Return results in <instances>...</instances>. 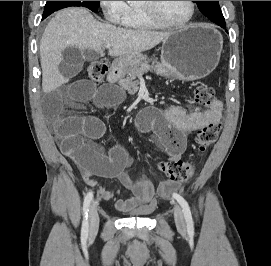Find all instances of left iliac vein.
<instances>
[{
    "label": "left iliac vein",
    "instance_id": "left-iliac-vein-1",
    "mask_svg": "<svg viewBox=\"0 0 271 266\" xmlns=\"http://www.w3.org/2000/svg\"><path fill=\"white\" fill-rule=\"evenodd\" d=\"M174 220L178 230L184 232L186 230L183 212L178 205L174 206Z\"/></svg>",
    "mask_w": 271,
    "mask_h": 266
}]
</instances>
